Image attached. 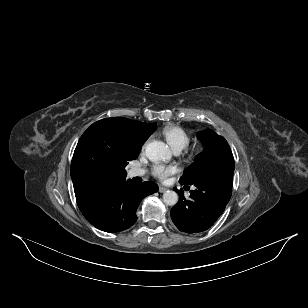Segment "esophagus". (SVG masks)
<instances>
[{
	"mask_svg": "<svg viewBox=\"0 0 308 308\" xmlns=\"http://www.w3.org/2000/svg\"><path fill=\"white\" fill-rule=\"evenodd\" d=\"M168 189L166 188V187H163V186H159V189H158V191L160 192V193H164V192H166Z\"/></svg>",
	"mask_w": 308,
	"mask_h": 308,
	"instance_id": "1",
	"label": "esophagus"
}]
</instances>
